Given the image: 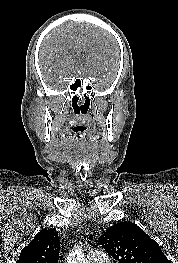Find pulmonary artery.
<instances>
[{"label": "pulmonary artery", "mask_w": 178, "mask_h": 263, "mask_svg": "<svg viewBox=\"0 0 178 263\" xmlns=\"http://www.w3.org/2000/svg\"><path fill=\"white\" fill-rule=\"evenodd\" d=\"M89 263H109L108 256L99 250H91L88 253Z\"/></svg>", "instance_id": "e3ab8cb5"}]
</instances>
